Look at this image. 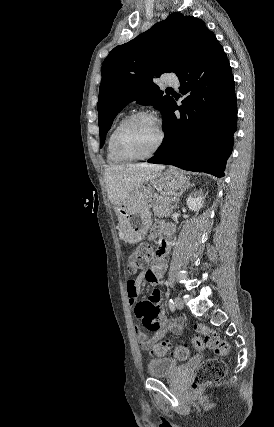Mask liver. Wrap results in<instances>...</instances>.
<instances>
[{"instance_id": "6515ba94", "label": "liver", "mask_w": 274, "mask_h": 427, "mask_svg": "<svg viewBox=\"0 0 274 427\" xmlns=\"http://www.w3.org/2000/svg\"><path fill=\"white\" fill-rule=\"evenodd\" d=\"M165 166L149 164L141 168L140 164H126V166H107L104 172L108 198L119 208L121 204L128 206L133 200V192L141 184H147L157 178L158 174L164 170Z\"/></svg>"}]
</instances>
